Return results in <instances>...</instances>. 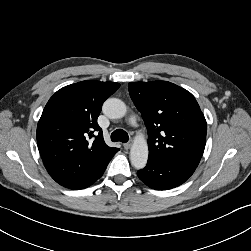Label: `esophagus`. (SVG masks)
Segmentation results:
<instances>
[{
    "instance_id": "34e87169",
    "label": "esophagus",
    "mask_w": 251,
    "mask_h": 251,
    "mask_svg": "<svg viewBox=\"0 0 251 251\" xmlns=\"http://www.w3.org/2000/svg\"><path fill=\"white\" fill-rule=\"evenodd\" d=\"M131 146H132L131 143H125V144H124V148H125L126 150L130 149Z\"/></svg>"
}]
</instances>
